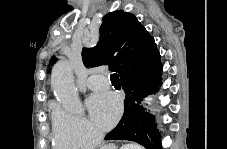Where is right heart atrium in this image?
<instances>
[{"label":"right heart atrium","instance_id":"obj_1","mask_svg":"<svg viewBox=\"0 0 227 149\" xmlns=\"http://www.w3.org/2000/svg\"><path fill=\"white\" fill-rule=\"evenodd\" d=\"M53 138L56 146L80 149L95 146L102 134L82 114L72 113L59 105L52 112Z\"/></svg>","mask_w":227,"mask_h":149}]
</instances>
